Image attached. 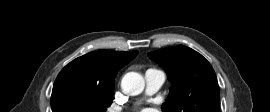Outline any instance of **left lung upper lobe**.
Returning a JSON list of instances; mask_svg holds the SVG:
<instances>
[{"mask_svg":"<svg viewBox=\"0 0 270 112\" xmlns=\"http://www.w3.org/2000/svg\"><path fill=\"white\" fill-rule=\"evenodd\" d=\"M148 56L165 69L172 83L163 112H219L217 78L201 54L179 45L150 52Z\"/></svg>","mask_w":270,"mask_h":112,"instance_id":"obj_1","label":"left lung upper lobe"}]
</instances>
